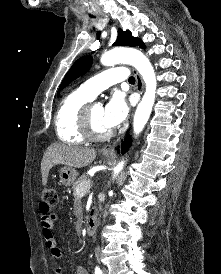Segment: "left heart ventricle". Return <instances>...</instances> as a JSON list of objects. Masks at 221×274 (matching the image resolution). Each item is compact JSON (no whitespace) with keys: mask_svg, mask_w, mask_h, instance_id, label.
<instances>
[{"mask_svg":"<svg viewBox=\"0 0 221 274\" xmlns=\"http://www.w3.org/2000/svg\"><path fill=\"white\" fill-rule=\"evenodd\" d=\"M103 109L102 105L94 104L91 109V117L93 125L98 131L107 132L108 129H106L102 123Z\"/></svg>","mask_w":221,"mask_h":274,"instance_id":"b2bd125f","label":"left heart ventricle"}]
</instances>
